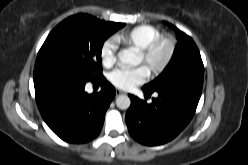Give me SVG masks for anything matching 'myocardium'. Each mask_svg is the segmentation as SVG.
<instances>
[{"mask_svg": "<svg viewBox=\"0 0 248 165\" xmlns=\"http://www.w3.org/2000/svg\"><path fill=\"white\" fill-rule=\"evenodd\" d=\"M164 47L161 57H157L158 50ZM176 51V42L172 37L160 36L152 40L145 48L140 50L144 63L153 74L161 73L172 61Z\"/></svg>", "mask_w": 248, "mask_h": 165, "instance_id": "1", "label": "myocardium"}]
</instances>
